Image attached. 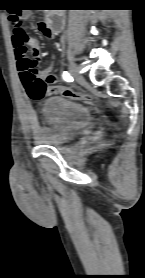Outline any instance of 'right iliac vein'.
I'll use <instances>...</instances> for the list:
<instances>
[{"label": "right iliac vein", "instance_id": "63e3f726", "mask_svg": "<svg viewBox=\"0 0 145 278\" xmlns=\"http://www.w3.org/2000/svg\"><path fill=\"white\" fill-rule=\"evenodd\" d=\"M69 71L71 73V75L78 81L83 82L84 81V77L83 75L80 73L78 67L74 64L71 63L69 65Z\"/></svg>", "mask_w": 145, "mask_h": 278}]
</instances>
